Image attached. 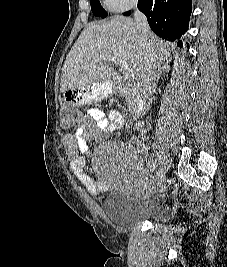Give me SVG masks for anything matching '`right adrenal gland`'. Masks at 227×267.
Masks as SVG:
<instances>
[{"label": "right adrenal gland", "instance_id": "right-adrenal-gland-1", "mask_svg": "<svg viewBox=\"0 0 227 267\" xmlns=\"http://www.w3.org/2000/svg\"><path fill=\"white\" fill-rule=\"evenodd\" d=\"M170 71V66L168 64H163L158 67V75H157V83L161 77V74L164 72H169Z\"/></svg>", "mask_w": 227, "mask_h": 267}]
</instances>
